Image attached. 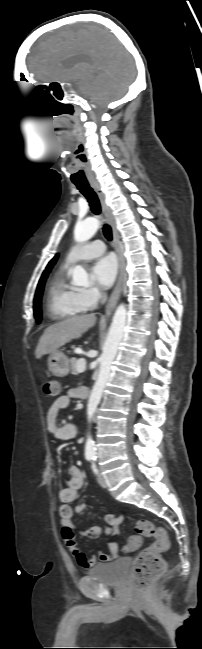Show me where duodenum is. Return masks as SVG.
Instances as JSON below:
<instances>
[{"instance_id": "duodenum-1", "label": "duodenum", "mask_w": 202, "mask_h": 649, "mask_svg": "<svg viewBox=\"0 0 202 649\" xmlns=\"http://www.w3.org/2000/svg\"><path fill=\"white\" fill-rule=\"evenodd\" d=\"M88 395H89V391H88V389L85 388V389H84V395H83V396H84V397H87Z\"/></svg>"}]
</instances>
